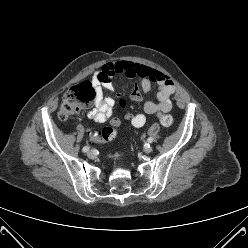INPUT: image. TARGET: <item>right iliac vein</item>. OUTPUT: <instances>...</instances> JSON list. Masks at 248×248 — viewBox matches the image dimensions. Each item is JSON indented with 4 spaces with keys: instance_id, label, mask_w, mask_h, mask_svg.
<instances>
[{
    "instance_id": "1",
    "label": "right iliac vein",
    "mask_w": 248,
    "mask_h": 248,
    "mask_svg": "<svg viewBox=\"0 0 248 248\" xmlns=\"http://www.w3.org/2000/svg\"><path fill=\"white\" fill-rule=\"evenodd\" d=\"M87 156H88L90 159H94V158H95V153H94L93 151H88Z\"/></svg>"
}]
</instances>
